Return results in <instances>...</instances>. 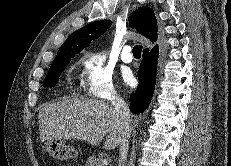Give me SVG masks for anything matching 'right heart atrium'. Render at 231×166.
<instances>
[{"instance_id": "d8ad5b80", "label": "right heart atrium", "mask_w": 231, "mask_h": 166, "mask_svg": "<svg viewBox=\"0 0 231 166\" xmlns=\"http://www.w3.org/2000/svg\"><path fill=\"white\" fill-rule=\"evenodd\" d=\"M83 89L95 99L116 98L117 90L113 82L112 71L106 65L102 55L85 52L82 56Z\"/></svg>"}]
</instances>
